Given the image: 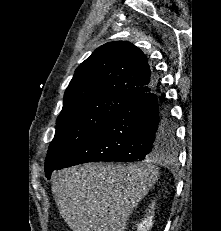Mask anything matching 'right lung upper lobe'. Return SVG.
I'll list each match as a JSON object with an SVG mask.
<instances>
[{
	"label": "right lung upper lobe",
	"mask_w": 221,
	"mask_h": 231,
	"mask_svg": "<svg viewBox=\"0 0 221 231\" xmlns=\"http://www.w3.org/2000/svg\"><path fill=\"white\" fill-rule=\"evenodd\" d=\"M145 54L126 41L97 48L75 71L64 94L63 108L93 96L132 100L155 88Z\"/></svg>",
	"instance_id": "cb5924a9"
}]
</instances>
